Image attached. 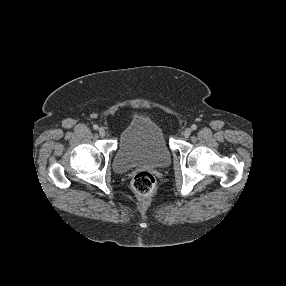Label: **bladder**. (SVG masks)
I'll use <instances>...</instances> for the list:
<instances>
[{
    "label": "bladder",
    "mask_w": 286,
    "mask_h": 286,
    "mask_svg": "<svg viewBox=\"0 0 286 286\" xmlns=\"http://www.w3.org/2000/svg\"><path fill=\"white\" fill-rule=\"evenodd\" d=\"M171 159L161 128L154 122L132 120L121 136L114 157V168L124 173L139 166L161 168Z\"/></svg>",
    "instance_id": "31cf9c89"
}]
</instances>
